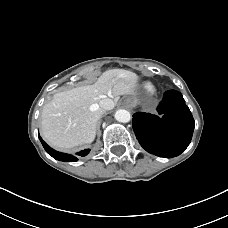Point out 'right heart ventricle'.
<instances>
[{"instance_id":"e07e8e85","label":"right heart ventricle","mask_w":228,"mask_h":228,"mask_svg":"<svg viewBox=\"0 0 228 228\" xmlns=\"http://www.w3.org/2000/svg\"><path fill=\"white\" fill-rule=\"evenodd\" d=\"M145 89L147 90V91H152L153 90V87H152V85H150V84H146L145 85Z\"/></svg>"}]
</instances>
